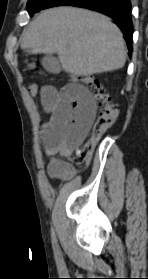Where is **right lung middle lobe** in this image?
I'll return each instance as SVG.
<instances>
[{
    "label": "right lung middle lobe",
    "mask_w": 148,
    "mask_h": 279,
    "mask_svg": "<svg viewBox=\"0 0 148 279\" xmlns=\"http://www.w3.org/2000/svg\"><path fill=\"white\" fill-rule=\"evenodd\" d=\"M48 0H28L27 10L30 15L40 11Z\"/></svg>",
    "instance_id": "dd1d6c3e"
}]
</instances>
